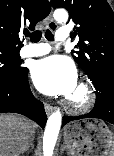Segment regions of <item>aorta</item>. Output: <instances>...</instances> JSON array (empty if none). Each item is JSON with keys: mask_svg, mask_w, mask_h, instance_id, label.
Instances as JSON below:
<instances>
[{"mask_svg": "<svg viewBox=\"0 0 114 156\" xmlns=\"http://www.w3.org/2000/svg\"><path fill=\"white\" fill-rule=\"evenodd\" d=\"M54 18L59 23L68 20V13L65 9H57L54 12ZM62 115L59 110L53 112L48 118L44 137H43V153L44 156H53L54 147L61 127Z\"/></svg>", "mask_w": 114, "mask_h": 156, "instance_id": "1", "label": "aorta"}]
</instances>
